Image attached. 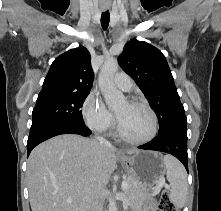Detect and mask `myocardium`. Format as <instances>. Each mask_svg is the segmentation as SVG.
Instances as JSON below:
<instances>
[{
  "instance_id": "obj_1",
  "label": "myocardium",
  "mask_w": 221,
  "mask_h": 211,
  "mask_svg": "<svg viewBox=\"0 0 221 211\" xmlns=\"http://www.w3.org/2000/svg\"><path fill=\"white\" fill-rule=\"evenodd\" d=\"M128 102L131 104H134V105L141 106L149 112V114L152 118V129H151L150 134L147 137H145L143 139H132L124 134V132L122 131V129L120 127L119 121L117 119L116 132H117L118 137L120 139H122L123 141L130 143V144H134V145H143V144H146V143L152 141L155 138L157 131H158V118H157L155 111L147 102H145L139 98H134V97L129 98Z\"/></svg>"
}]
</instances>
